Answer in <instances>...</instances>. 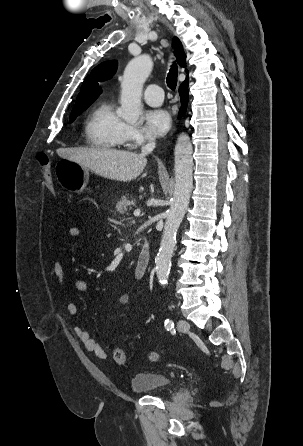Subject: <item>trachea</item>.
<instances>
[{
    "label": "trachea",
    "mask_w": 303,
    "mask_h": 446,
    "mask_svg": "<svg viewBox=\"0 0 303 446\" xmlns=\"http://www.w3.org/2000/svg\"><path fill=\"white\" fill-rule=\"evenodd\" d=\"M177 77H178V68H177V65L175 63H173V65L171 66V69L167 75V78H166L167 86L171 90H175V88H176Z\"/></svg>",
    "instance_id": "trachea-1"
}]
</instances>
